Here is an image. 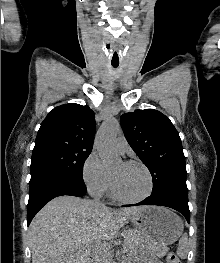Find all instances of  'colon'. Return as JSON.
Instances as JSON below:
<instances>
[{
  "label": "colon",
  "instance_id": "1",
  "mask_svg": "<svg viewBox=\"0 0 220 263\" xmlns=\"http://www.w3.org/2000/svg\"><path fill=\"white\" fill-rule=\"evenodd\" d=\"M168 263H181L179 257L174 254V253H171L168 255Z\"/></svg>",
  "mask_w": 220,
  "mask_h": 263
}]
</instances>
